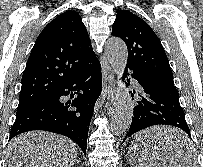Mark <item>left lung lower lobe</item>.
Listing matches in <instances>:
<instances>
[{
  "label": "left lung lower lobe",
  "mask_w": 203,
  "mask_h": 167,
  "mask_svg": "<svg viewBox=\"0 0 203 167\" xmlns=\"http://www.w3.org/2000/svg\"><path fill=\"white\" fill-rule=\"evenodd\" d=\"M129 70L133 72L131 76L139 83V90L131 92L132 98H136L134 117L123 141L144 128L159 124L176 126L184 130L191 138L175 86L162 84L140 70L133 68ZM189 143L188 139V145L185 142L178 146L186 151Z\"/></svg>",
  "instance_id": "left-lung-lower-lobe-1"
}]
</instances>
